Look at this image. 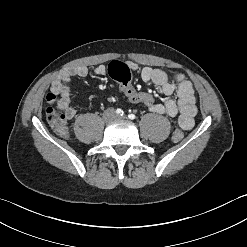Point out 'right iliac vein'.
<instances>
[{"label":"right iliac vein","instance_id":"63e3f726","mask_svg":"<svg viewBox=\"0 0 247 247\" xmlns=\"http://www.w3.org/2000/svg\"><path fill=\"white\" fill-rule=\"evenodd\" d=\"M113 118H114V113H113L111 110L107 111L106 114H105V119H106L107 121H110V120H112Z\"/></svg>","mask_w":247,"mask_h":247}]
</instances>
